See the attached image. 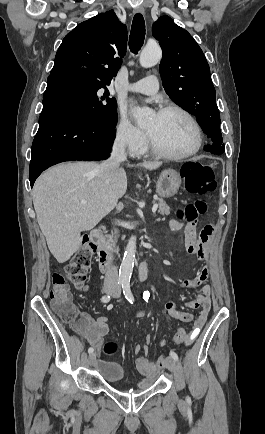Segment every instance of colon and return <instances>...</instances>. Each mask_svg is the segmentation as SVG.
<instances>
[{"mask_svg":"<svg viewBox=\"0 0 265 434\" xmlns=\"http://www.w3.org/2000/svg\"><path fill=\"white\" fill-rule=\"evenodd\" d=\"M184 176L186 179V191L196 195L211 194L215 190V171L209 165H199L193 163L192 160H186ZM208 206L204 200H197L187 204L183 209L176 213V219L193 223L199 215L207 213ZM92 258L87 252L80 251L76 253L72 262L68 264L64 270L57 271L53 274L50 295L52 305L55 311L58 312L61 318L63 327H75L76 319L72 305L66 299L69 291V283L78 289L86 288L87 273L91 267ZM188 338V333L185 329H180L175 336V343H182ZM118 350V345L115 342H107L101 347V351L105 355H112ZM160 369H165V358L159 355L156 358Z\"/></svg>","mask_w":265,"mask_h":434,"instance_id":"colon-1","label":"colon"}]
</instances>
